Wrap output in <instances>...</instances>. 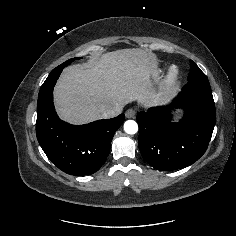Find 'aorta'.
I'll list each match as a JSON object with an SVG mask.
<instances>
[{
  "label": "aorta",
  "mask_w": 236,
  "mask_h": 236,
  "mask_svg": "<svg viewBox=\"0 0 236 236\" xmlns=\"http://www.w3.org/2000/svg\"><path fill=\"white\" fill-rule=\"evenodd\" d=\"M124 131L128 134H135L138 131V124L134 120H127L124 123Z\"/></svg>",
  "instance_id": "762f6f07"
}]
</instances>
